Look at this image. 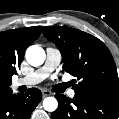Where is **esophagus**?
Here are the masks:
<instances>
[{"mask_svg": "<svg viewBox=\"0 0 119 119\" xmlns=\"http://www.w3.org/2000/svg\"><path fill=\"white\" fill-rule=\"evenodd\" d=\"M52 93L49 91V90H46V89H43L42 90V95H43V97H46V96H49V95H51Z\"/></svg>", "mask_w": 119, "mask_h": 119, "instance_id": "obj_1", "label": "esophagus"}]
</instances>
